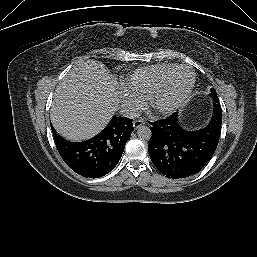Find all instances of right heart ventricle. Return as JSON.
I'll use <instances>...</instances> for the list:
<instances>
[{"mask_svg": "<svg viewBox=\"0 0 257 257\" xmlns=\"http://www.w3.org/2000/svg\"><path fill=\"white\" fill-rule=\"evenodd\" d=\"M173 67H175L174 64L164 63L139 68L124 80L123 85L146 100L162 76Z\"/></svg>", "mask_w": 257, "mask_h": 257, "instance_id": "obj_1", "label": "right heart ventricle"}]
</instances>
